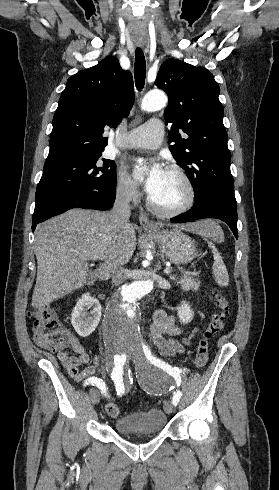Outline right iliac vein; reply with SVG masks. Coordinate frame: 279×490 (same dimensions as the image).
Wrapping results in <instances>:
<instances>
[{"instance_id": "right-iliac-vein-1", "label": "right iliac vein", "mask_w": 279, "mask_h": 490, "mask_svg": "<svg viewBox=\"0 0 279 490\" xmlns=\"http://www.w3.org/2000/svg\"><path fill=\"white\" fill-rule=\"evenodd\" d=\"M111 365H112V364H111ZM90 394H91V397H92L93 403H94V404L99 403V400H100V399H99V393H98V391H97V390H92V391L90 392Z\"/></svg>"}]
</instances>
